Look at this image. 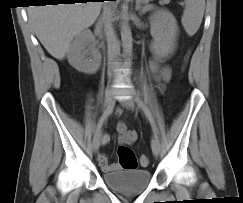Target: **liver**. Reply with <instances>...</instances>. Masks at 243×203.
<instances>
[{
    "label": "liver",
    "instance_id": "6515ba94",
    "mask_svg": "<svg viewBox=\"0 0 243 203\" xmlns=\"http://www.w3.org/2000/svg\"><path fill=\"white\" fill-rule=\"evenodd\" d=\"M101 2L30 6L29 21L45 49L63 59L74 36L90 27L98 18Z\"/></svg>",
    "mask_w": 243,
    "mask_h": 203
}]
</instances>
